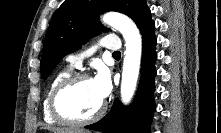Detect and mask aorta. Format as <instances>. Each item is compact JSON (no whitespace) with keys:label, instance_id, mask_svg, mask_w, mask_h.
Returning a JSON list of instances; mask_svg holds the SVG:
<instances>
[{"label":"aorta","instance_id":"762f6f07","mask_svg":"<svg viewBox=\"0 0 221 133\" xmlns=\"http://www.w3.org/2000/svg\"><path fill=\"white\" fill-rule=\"evenodd\" d=\"M102 21L118 30L125 40L126 50L121 80V101L128 104L136 90L142 55V39L135 23L127 16L110 12L102 17Z\"/></svg>","mask_w":221,"mask_h":133}]
</instances>
